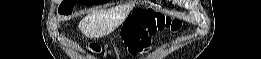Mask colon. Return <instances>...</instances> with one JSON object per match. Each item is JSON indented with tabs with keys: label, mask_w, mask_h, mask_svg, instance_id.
I'll return each mask as SVG.
<instances>
[{
	"label": "colon",
	"mask_w": 261,
	"mask_h": 59,
	"mask_svg": "<svg viewBox=\"0 0 261 59\" xmlns=\"http://www.w3.org/2000/svg\"><path fill=\"white\" fill-rule=\"evenodd\" d=\"M170 27L176 31L180 25L174 21H168L162 16L153 12H142L127 33V41L132 53L139 54L145 52L150 47V36ZM95 51L96 49L93 48Z\"/></svg>",
	"instance_id": "colon-1"
}]
</instances>
